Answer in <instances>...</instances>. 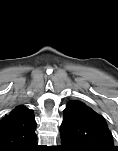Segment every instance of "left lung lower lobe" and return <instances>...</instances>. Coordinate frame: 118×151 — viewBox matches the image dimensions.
<instances>
[{"label": "left lung lower lobe", "mask_w": 118, "mask_h": 151, "mask_svg": "<svg viewBox=\"0 0 118 151\" xmlns=\"http://www.w3.org/2000/svg\"><path fill=\"white\" fill-rule=\"evenodd\" d=\"M62 137L65 139V145L61 147L63 151H81V149L69 138L65 136Z\"/></svg>", "instance_id": "obj_1"}]
</instances>
